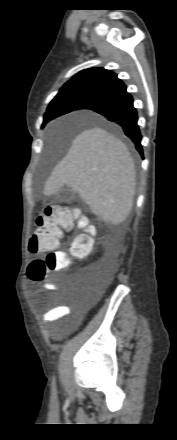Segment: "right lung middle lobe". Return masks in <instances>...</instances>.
I'll return each mask as SVG.
<instances>
[{"instance_id":"1","label":"right lung middle lobe","mask_w":177,"mask_h":440,"mask_svg":"<svg viewBox=\"0 0 177 440\" xmlns=\"http://www.w3.org/2000/svg\"><path fill=\"white\" fill-rule=\"evenodd\" d=\"M95 101L92 97L79 94L76 92H67L57 94L51 101L45 115L49 116V120L44 124L58 116L69 113L74 110L84 109L88 104Z\"/></svg>"}]
</instances>
